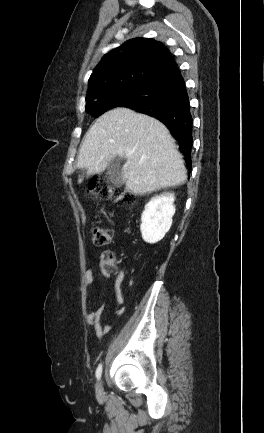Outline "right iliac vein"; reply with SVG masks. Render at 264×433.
Wrapping results in <instances>:
<instances>
[{
  "label": "right iliac vein",
  "mask_w": 264,
  "mask_h": 433,
  "mask_svg": "<svg viewBox=\"0 0 264 433\" xmlns=\"http://www.w3.org/2000/svg\"><path fill=\"white\" fill-rule=\"evenodd\" d=\"M96 394H97L98 397H102L103 396V385H102L101 381H99L96 384Z\"/></svg>",
  "instance_id": "right-iliac-vein-1"
}]
</instances>
